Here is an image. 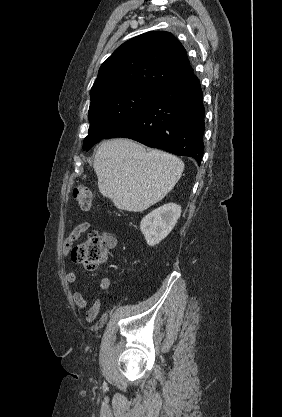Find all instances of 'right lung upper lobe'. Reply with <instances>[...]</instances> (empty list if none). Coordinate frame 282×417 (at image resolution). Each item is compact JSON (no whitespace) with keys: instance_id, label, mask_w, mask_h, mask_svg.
<instances>
[{"instance_id":"obj_1","label":"right lung upper lobe","mask_w":282,"mask_h":417,"mask_svg":"<svg viewBox=\"0 0 282 417\" xmlns=\"http://www.w3.org/2000/svg\"><path fill=\"white\" fill-rule=\"evenodd\" d=\"M192 74L182 44L169 32L151 31L114 51L101 65L90 96L125 89L158 92Z\"/></svg>"}]
</instances>
